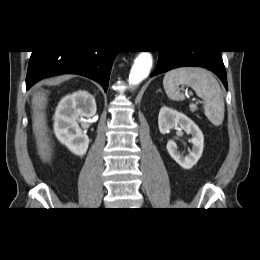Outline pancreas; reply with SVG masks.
I'll list each match as a JSON object with an SVG mask.
<instances>
[{"label":"pancreas","mask_w":260,"mask_h":260,"mask_svg":"<svg viewBox=\"0 0 260 260\" xmlns=\"http://www.w3.org/2000/svg\"><path fill=\"white\" fill-rule=\"evenodd\" d=\"M196 109H197V106H196V105H194V104H191V105H190V110H191L192 112H194Z\"/></svg>","instance_id":"pancreas-1"}]
</instances>
